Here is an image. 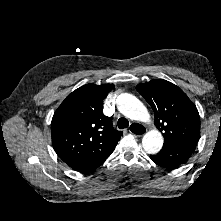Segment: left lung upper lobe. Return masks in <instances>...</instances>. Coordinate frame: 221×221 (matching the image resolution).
Instances as JSON below:
<instances>
[{
	"mask_svg": "<svg viewBox=\"0 0 221 221\" xmlns=\"http://www.w3.org/2000/svg\"><path fill=\"white\" fill-rule=\"evenodd\" d=\"M136 89L152 107L155 125L164 136V145L198 142V110L178 86L161 79L138 84Z\"/></svg>",
	"mask_w": 221,
	"mask_h": 221,
	"instance_id": "left-lung-upper-lobe-1",
	"label": "left lung upper lobe"
}]
</instances>
